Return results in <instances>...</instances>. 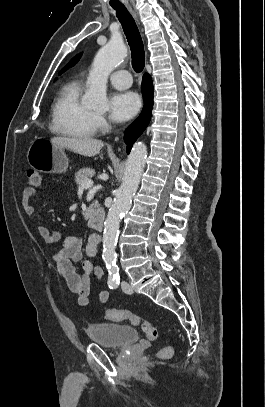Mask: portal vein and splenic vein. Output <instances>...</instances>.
I'll return each mask as SVG.
<instances>
[{"label":"portal vein and splenic vein","instance_id":"portal-vein-and-splenic-vein-1","mask_svg":"<svg viewBox=\"0 0 265 407\" xmlns=\"http://www.w3.org/2000/svg\"><path fill=\"white\" fill-rule=\"evenodd\" d=\"M93 186V181L88 179V180H84L81 185L79 186V189H88L91 188Z\"/></svg>","mask_w":265,"mask_h":407}]
</instances>
